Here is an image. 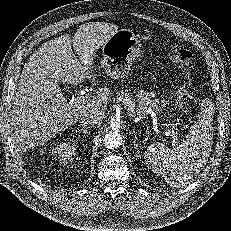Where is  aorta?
<instances>
[{
    "mask_svg": "<svg viewBox=\"0 0 231 231\" xmlns=\"http://www.w3.org/2000/svg\"><path fill=\"white\" fill-rule=\"evenodd\" d=\"M103 141L106 148L116 149L122 144L123 138L119 132L110 131L105 134Z\"/></svg>",
    "mask_w": 231,
    "mask_h": 231,
    "instance_id": "obj_1",
    "label": "aorta"
}]
</instances>
